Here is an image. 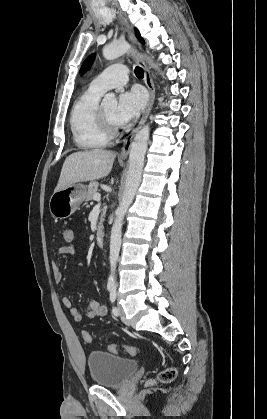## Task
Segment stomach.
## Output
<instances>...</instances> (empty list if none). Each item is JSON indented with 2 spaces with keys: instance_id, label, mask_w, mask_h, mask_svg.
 I'll list each match as a JSON object with an SVG mask.
<instances>
[{
  "instance_id": "stomach-1",
  "label": "stomach",
  "mask_w": 267,
  "mask_h": 419,
  "mask_svg": "<svg viewBox=\"0 0 267 419\" xmlns=\"http://www.w3.org/2000/svg\"><path fill=\"white\" fill-rule=\"evenodd\" d=\"M87 187L82 183H73L65 189L55 191L49 200L52 216L65 219L71 216L86 199Z\"/></svg>"
}]
</instances>
